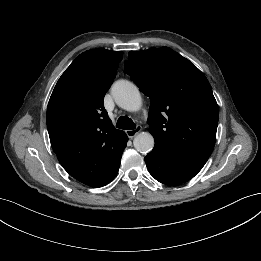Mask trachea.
Returning a JSON list of instances; mask_svg holds the SVG:
<instances>
[{
	"instance_id": "1",
	"label": "trachea",
	"mask_w": 261,
	"mask_h": 261,
	"mask_svg": "<svg viewBox=\"0 0 261 261\" xmlns=\"http://www.w3.org/2000/svg\"><path fill=\"white\" fill-rule=\"evenodd\" d=\"M136 125L135 123L132 121V119H130L127 116H121L118 120H117V128L120 129H124V130H132L135 129Z\"/></svg>"
}]
</instances>
